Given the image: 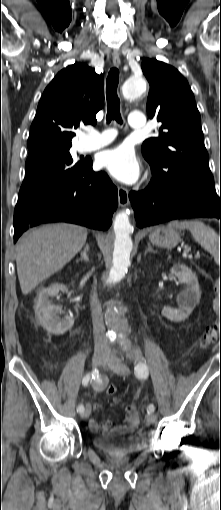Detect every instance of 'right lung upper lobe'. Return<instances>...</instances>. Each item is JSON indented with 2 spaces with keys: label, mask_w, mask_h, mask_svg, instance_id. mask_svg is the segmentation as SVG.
Listing matches in <instances>:
<instances>
[{
  "label": "right lung upper lobe",
  "mask_w": 221,
  "mask_h": 510,
  "mask_svg": "<svg viewBox=\"0 0 221 510\" xmlns=\"http://www.w3.org/2000/svg\"><path fill=\"white\" fill-rule=\"evenodd\" d=\"M102 74L82 63L61 70L40 99L27 142L29 152L71 147L75 129L96 124L104 103Z\"/></svg>",
  "instance_id": "obj_1"
}]
</instances>
